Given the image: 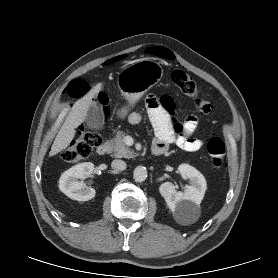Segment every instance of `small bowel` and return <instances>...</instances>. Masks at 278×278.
Listing matches in <instances>:
<instances>
[{
	"label": "small bowel",
	"instance_id": "1",
	"mask_svg": "<svg viewBox=\"0 0 278 278\" xmlns=\"http://www.w3.org/2000/svg\"><path fill=\"white\" fill-rule=\"evenodd\" d=\"M147 115L154 129L153 146H160L167 150L170 144H176L185 151L196 152L203 147V140L193 137L198 126L196 115H189L183 123L173 121L172 114L175 108L171 97L164 95L157 99L154 96L148 97L146 101ZM143 116L139 112L129 115L130 124H138Z\"/></svg>",
	"mask_w": 278,
	"mask_h": 278
}]
</instances>
